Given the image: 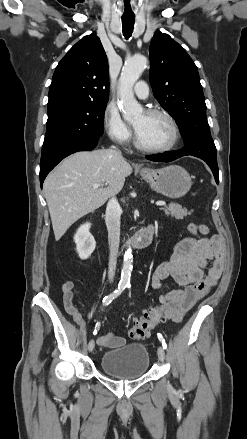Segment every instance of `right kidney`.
Wrapping results in <instances>:
<instances>
[{"label":"right kidney","instance_id":"ca27d5eb","mask_svg":"<svg viewBox=\"0 0 247 439\" xmlns=\"http://www.w3.org/2000/svg\"><path fill=\"white\" fill-rule=\"evenodd\" d=\"M90 227L91 223L87 222L81 225L74 235L76 251L82 260L88 259L96 247V241L90 233Z\"/></svg>","mask_w":247,"mask_h":439}]
</instances>
